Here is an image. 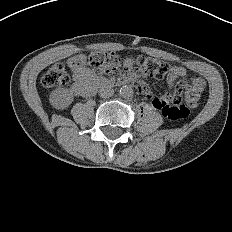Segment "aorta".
Returning <instances> with one entry per match:
<instances>
[{
	"mask_svg": "<svg viewBox=\"0 0 232 232\" xmlns=\"http://www.w3.org/2000/svg\"><path fill=\"white\" fill-rule=\"evenodd\" d=\"M119 93H120V95H121L123 98H127V97L132 96V94H133V89H132V87L129 86V85H123V86L120 88Z\"/></svg>",
	"mask_w": 232,
	"mask_h": 232,
	"instance_id": "762f6f07",
	"label": "aorta"
}]
</instances>
